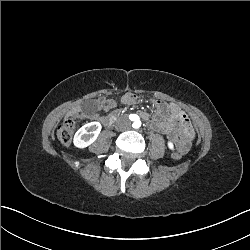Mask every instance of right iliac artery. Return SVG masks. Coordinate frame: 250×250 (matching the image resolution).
<instances>
[{
	"label": "right iliac artery",
	"instance_id": "1",
	"mask_svg": "<svg viewBox=\"0 0 250 250\" xmlns=\"http://www.w3.org/2000/svg\"><path fill=\"white\" fill-rule=\"evenodd\" d=\"M137 115H135V114H131L130 115V119L132 120V118H135Z\"/></svg>",
	"mask_w": 250,
	"mask_h": 250
}]
</instances>
